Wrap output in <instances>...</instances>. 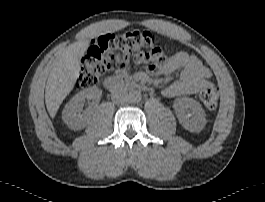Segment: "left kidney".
<instances>
[{
    "label": "left kidney",
    "mask_w": 265,
    "mask_h": 202,
    "mask_svg": "<svg viewBox=\"0 0 265 202\" xmlns=\"http://www.w3.org/2000/svg\"><path fill=\"white\" fill-rule=\"evenodd\" d=\"M173 108L179 123L190 132H200L206 125V114L199 102L182 97L174 100Z\"/></svg>",
    "instance_id": "obj_1"
}]
</instances>
